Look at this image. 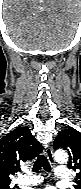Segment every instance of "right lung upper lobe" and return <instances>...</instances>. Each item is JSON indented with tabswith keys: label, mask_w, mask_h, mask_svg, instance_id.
Returning a JSON list of instances; mask_svg holds the SVG:
<instances>
[{
	"label": "right lung upper lobe",
	"mask_w": 81,
	"mask_h": 189,
	"mask_svg": "<svg viewBox=\"0 0 81 189\" xmlns=\"http://www.w3.org/2000/svg\"><path fill=\"white\" fill-rule=\"evenodd\" d=\"M41 152V144L27 127H18L0 139V186L11 183V176L20 170V163Z\"/></svg>",
	"instance_id": "right-lung-upper-lobe-1"
}]
</instances>
